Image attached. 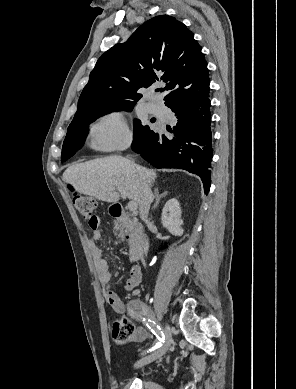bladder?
I'll return each mask as SVG.
<instances>
[{"instance_id": "31cf9c89", "label": "bladder", "mask_w": 296, "mask_h": 389, "mask_svg": "<svg viewBox=\"0 0 296 389\" xmlns=\"http://www.w3.org/2000/svg\"><path fill=\"white\" fill-rule=\"evenodd\" d=\"M144 374H145V375H148V374H150V373H149V372H144Z\"/></svg>"}]
</instances>
